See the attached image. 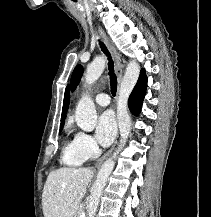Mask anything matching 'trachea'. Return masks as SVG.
Returning <instances> with one entry per match:
<instances>
[{
  "mask_svg": "<svg viewBox=\"0 0 211 217\" xmlns=\"http://www.w3.org/2000/svg\"><path fill=\"white\" fill-rule=\"evenodd\" d=\"M100 47H101V50L108 57V69H109V75H110L111 93H112L113 96H115L116 95V91H117V78H116V75L114 73L113 61L111 59V56H110V54H109L106 46L102 42H100Z\"/></svg>",
  "mask_w": 211,
  "mask_h": 217,
  "instance_id": "1",
  "label": "trachea"
}]
</instances>
